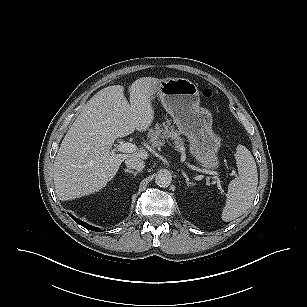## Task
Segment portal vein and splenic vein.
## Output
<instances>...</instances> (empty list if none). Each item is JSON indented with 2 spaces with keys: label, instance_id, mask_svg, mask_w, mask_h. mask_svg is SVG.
<instances>
[{
  "label": "portal vein and splenic vein",
  "instance_id": "portal-vein-and-splenic-vein-1",
  "mask_svg": "<svg viewBox=\"0 0 307 307\" xmlns=\"http://www.w3.org/2000/svg\"><path fill=\"white\" fill-rule=\"evenodd\" d=\"M118 151L120 152H124V153H133V152H136L138 150V147L133 144V143H129V142H126V143H122L120 144L118 147H117ZM114 153V152H113ZM189 167H191L192 169L194 170H198V171H201L200 169H197L196 167L192 166V165H188ZM206 172V171H205ZM206 173H209V174H213L214 172L213 171H207Z\"/></svg>",
  "mask_w": 307,
  "mask_h": 307
}]
</instances>
